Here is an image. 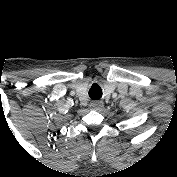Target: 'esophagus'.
<instances>
[{
  "mask_svg": "<svg viewBox=\"0 0 177 177\" xmlns=\"http://www.w3.org/2000/svg\"><path fill=\"white\" fill-rule=\"evenodd\" d=\"M103 102L102 101H93L91 104H90V108L92 110H99L100 108L103 107Z\"/></svg>",
  "mask_w": 177,
  "mask_h": 177,
  "instance_id": "esophagus-1",
  "label": "esophagus"
}]
</instances>
